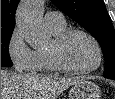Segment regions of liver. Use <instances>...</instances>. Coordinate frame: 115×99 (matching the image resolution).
<instances>
[{
    "mask_svg": "<svg viewBox=\"0 0 115 99\" xmlns=\"http://www.w3.org/2000/svg\"><path fill=\"white\" fill-rule=\"evenodd\" d=\"M80 77L18 74L1 70V99H56Z\"/></svg>",
    "mask_w": 115,
    "mask_h": 99,
    "instance_id": "1",
    "label": "liver"
}]
</instances>
